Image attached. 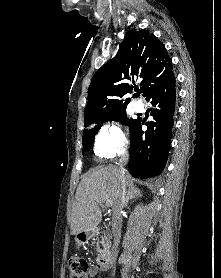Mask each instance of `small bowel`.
<instances>
[{"mask_svg":"<svg viewBox=\"0 0 221 278\" xmlns=\"http://www.w3.org/2000/svg\"><path fill=\"white\" fill-rule=\"evenodd\" d=\"M98 272H99V269L97 267L93 266L90 268L86 278H93L98 274Z\"/></svg>","mask_w":221,"mask_h":278,"instance_id":"small-bowel-1","label":"small bowel"}]
</instances>
